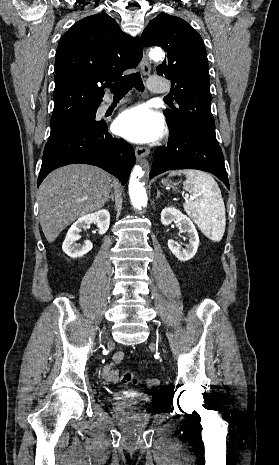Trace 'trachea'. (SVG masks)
Returning a JSON list of instances; mask_svg holds the SVG:
<instances>
[{"label": "trachea", "instance_id": "1", "mask_svg": "<svg viewBox=\"0 0 279 465\" xmlns=\"http://www.w3.org/2000/svg\"><path fill=\"white\" fill-rule=\"evenodd\" d=\"M133 87L139 91L144 90L143 81L139 72L127 75L119 82L113 84L111 92L114 96H124Z\"/></svg>", "mask_w": 279, "mask_h": 465}]
</instances>
